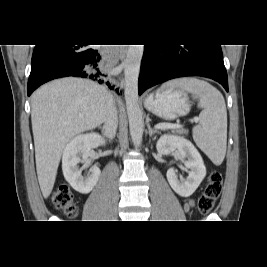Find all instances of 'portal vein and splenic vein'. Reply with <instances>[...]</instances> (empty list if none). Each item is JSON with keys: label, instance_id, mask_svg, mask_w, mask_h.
<instances>
[{"label": "portal vein and splenic vein", "instance_id": "portal-vein-and-splenic-vein-1", "mask_svg": "<svg viewBox=\"0 0 267 267\" xmlns=\"http://www.w3.org/2000/svg\"><path fill=\"white\" fill-rule=\"evenodd\" d=\"M194 121L198 122V118H194ZM181 127L182 125H179V124H165V123L157 124L155 126L156 129H178Z\"/></svg>", "mask_w": 267, "mask_h": 267}]
</instances>
